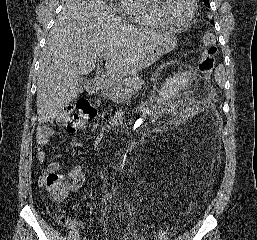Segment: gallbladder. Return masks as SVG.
I'll list each match as a JSON object with an SVG mask.
<instances>
[{
    "mask_svg": "<svg viewBox=\"0 0 257 240\" xmlns=\"http://www.w3.org/2000/svg\"><path fill=\"white\" fill-rule=\"evenodd\" d=\"M88 82H89V81H88L87 79H85V78H81V79L79 80V83H80V90H81V91H83V90L86 89V86H87Z\"/></svg>",
    "mask_w": 257,
    "mask_h": 240,
    "instance_id": "bac80fb5",
    "label": "gallbladder"
}]
</instances>
